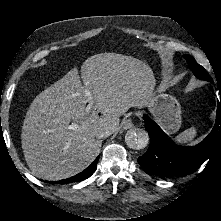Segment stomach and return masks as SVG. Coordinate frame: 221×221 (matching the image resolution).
<instances>
[{
  "mask_svg": "<svg viewBox=\"0 0 221 221\" xmlns=\"http://www.w3.org/2000/svg\"><path fill=\"white\" fill-rule=\"evenodd\" d=\"M144 105L167 134H173L179 130L182 122L181 107L174 96L153 91Z\"/></svg>",
  "mask_w": 221,
  "mask_h": 221,
  "instance_id": "1",
  "label": "stomach"
}]
</instances>
